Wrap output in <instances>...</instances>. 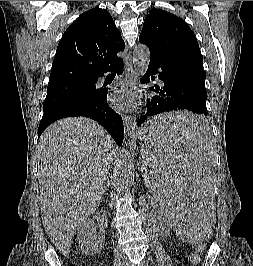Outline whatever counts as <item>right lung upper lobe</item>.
Listing matches in <instances>:
<instances>
[{"label": "right lung upper lobe", "mask_w": 253, "mask_h": 266, "mask_svg": "<svg viewBox=\"0 0 253 266\" xmlns=\"http://www.w3.org/2000/svg\"><path fill=\"white\" fill-rule=\"evenodd\" d=\"M120 32L108 11L93 8L80 15L64 32L55 54L48 86L97 79L123 61Z\"/></svg>", "instance_id": "1"}]
</instances>
